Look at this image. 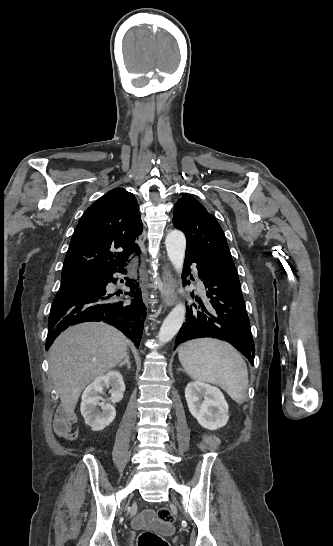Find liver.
<instances>
[{"label":"liver","mask_w":333,"mask_h":546,"mask_svg":"<svg viewBox=\"0 0 333 546\" xmlns=\"http://www.w3.org/2000/svg\"><path fill=\"white\" fill-rule=\"evenodd\" d=\"M127 339L104 323H83L66 329L50 348L49 366L60 407L72 416L82 390L124 358Z\"/></svg>","instance_id":"6515ba94"}]
</instances>
